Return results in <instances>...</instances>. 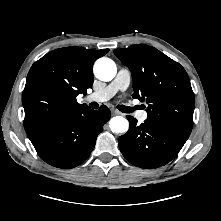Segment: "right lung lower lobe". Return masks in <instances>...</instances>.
I'll use <instances>...</instances> for the list:
<instances>
[{
	"mask_svg": "<svg viewBox=\"0 0 221 221\" xmlns=\"http://www.w3.org/2000/svg\"><path fill=\"white\" fill-rule=\"evenodd\" d=\"M110 117L111 112L106 106L99 111L86 106L26 132L46 163L64 169L74 168L88 158Z\"/></svg>",
	"mask_w": 221,
	"mask_h": 221,
	"instance_id": "1",
	"label": "right lung lower lobe"
}]
</instances>
